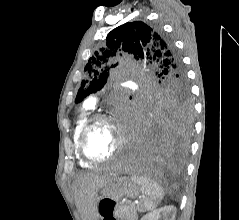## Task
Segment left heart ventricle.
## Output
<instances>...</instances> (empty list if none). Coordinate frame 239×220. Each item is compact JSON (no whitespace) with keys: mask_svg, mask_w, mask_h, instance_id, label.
I'll return each mask as SVG.
<instances>
[{"mask_svg":"<svg viewBox=\"0 0 239 220\" xmlns=\"http://www.w3.org/2000/svg\"><path fill=\"white\" fill-rule=\"evenodd\" d=\"M118 138V132L112 124L98 123L87 137V151L94 158H105L115 150Z\"/></svg>","mask_w":239,"mask_h":220,"instance_id":"1","label":"left heart ventricle"}]
</instances>
